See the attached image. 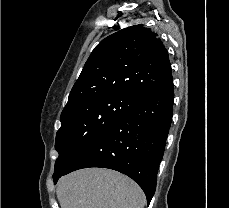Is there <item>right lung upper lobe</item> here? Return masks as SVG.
<instances>
[{
  "label": "right lung upper lobe",
  "mask_w": 229,
  "mask_h": 208,
  "mask_svg": "<svg viewBox=\"0 0 229 208\" xmlns=\"http://www.w3.org/2000/svg\"><path fill=\"white\" fill-rule=\"evenodd\" d=\"M172 80L168 52L158 34L142 24L127 27L94 48L61 116L80 103L105 95L140 101Z\"/></svg>",
  "instance_id": "obj_1"
}]
</instances>
